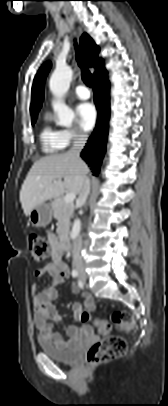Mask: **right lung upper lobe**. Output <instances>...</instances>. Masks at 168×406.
<instances>
[{
    "label": "right lung upper lobe",
    "instance_id": "1",
    "mask_svg": "<svg viewBox=\"0 0 168 406\" xmlns=\"http://www.w3.org/2000/svg\"><path fill=\"white\" fill-rule=\"evenodd\" d=\"M80 44L86 63L89 67L95 68V72L93 74L94 80L106 74L107 71L104 67V62L101 58H98L99 47L94 43L92 38L88 34L84 33L80 38ZM50 67V62L44 63L34 79L32 87V101L30 107L32 120L36 119L37 113L42 106L44 96V82L50 70Z\"/></svg>",
    "mask_w": 168,
    "mask_h": 406
}]
</instances>
